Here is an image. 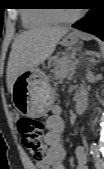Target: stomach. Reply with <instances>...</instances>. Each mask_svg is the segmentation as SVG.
<instances>
[{
  "instance_id": "1",
  "label": "stomach",
  "mask_w": 104,
  "mask_h": 169,
  "mask_svg": "<svg viewBox=\"0 0 104 169\" xmlns=\"http://www.w3.org/2000/svg\"><path fill=\"white\" fill-rule=\"evenodd\" d=\"M78 37L69 33L60 42L63 46H72ZM15 109L22 115L39 118L48 113L55 102V92L49 78L40 68L24 71L15 80L11 92Z\"/></svg>"
}]
</instances>
